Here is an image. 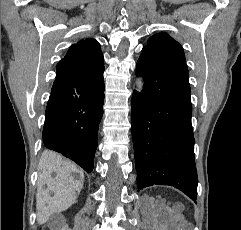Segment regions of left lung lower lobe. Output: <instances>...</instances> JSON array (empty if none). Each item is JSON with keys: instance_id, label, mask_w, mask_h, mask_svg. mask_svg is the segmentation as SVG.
I'll list each match as a JSON object with an SVG mask.
<instances>
[{"instance_id": "1", "label": "left lung lower lobe", "mask_w": 241, "mask_h": 230, "mask_svg": "<svg viewBox=\"0 0 241 230\" xmlns=\"http://www.w3.org/2000/svg\"><path fill=\"white\" fill-rule=\"evenodd\" d=\"M136 75L145 80L142 92H133L131 103L137 187L170 185L196 200L189 76L143 56Z\"/></svg>"}]
</instances>
